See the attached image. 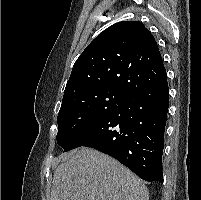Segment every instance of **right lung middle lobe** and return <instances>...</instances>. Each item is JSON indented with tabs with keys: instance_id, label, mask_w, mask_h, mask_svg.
I'll return each mask as SVG.
<instances>
[{
	"instance_id": "1",
	"label": "right lung middle lobe",
	"mask_w": 201,
	"mask_h": 200,
	"mask_svg": "<svg viewBox=\"0 0 201 200\" xmlns=\"http://www.w3.org/2000/svg\"><path fill=\"white\" fill-rule=\"evenodd\" d=\"M128 96L108 90L89 91L62 101L57 143L63 148L83 130L119 107Z\"/></svg>"
}]
</instances>
